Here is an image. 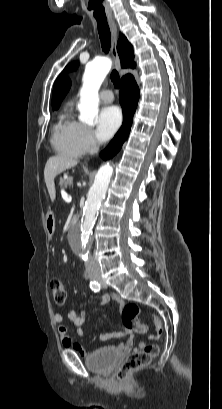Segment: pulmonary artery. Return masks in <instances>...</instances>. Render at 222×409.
I'll list each match as a JSON object with an SVG mask.
<instances>
[{
	"mask_svg": "<svg viewBox=\"0 0 222 409\" xmlns=\"http://www.w3.org/2000/svg\"><path fill=\"white\" fill-rule=\"evenodd\" d=\"M100 99L105 103H110L113 101V93L111 90L104 89L100 92Z\"/></svg>",
	"mask_w": 222,
	"mask_h": 409,
	"instance_id": "e3ab8cb5",
	"label": "pulmonary artery"
}]
</instances>
